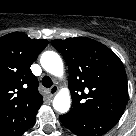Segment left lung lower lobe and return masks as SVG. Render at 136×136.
<instances>
[{"instance_id":"left-lung-lower-lobe-1","label":"left lung lower lobe","mask_w":136,"mask_h":136,"mask_svg":"<svg viewBox=\"0 0 136 136\" xmlns=\"http://www.w3.org/2000/svg\"><path fill=\"white\" fill-rule=\"evenodd\" d=\"M62 124L78 136H100L117 122L111 118L60 115Z\"/></svg>"}]
</instances>
